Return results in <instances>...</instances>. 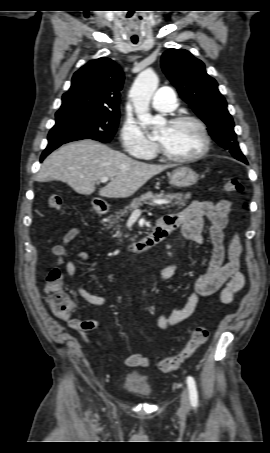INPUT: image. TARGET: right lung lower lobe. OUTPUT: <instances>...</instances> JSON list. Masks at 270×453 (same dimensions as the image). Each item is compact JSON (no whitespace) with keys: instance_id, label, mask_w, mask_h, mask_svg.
<instances>
[{"instance_id":"obj_1","label":"right lung lower lobe","mask_w":270,"mask_h":453,"mask_svg":"<svg viewBox=\"0 0 270 453\" xmlns=\"http://www.w3.org/2000/svg\"><path fill=\"white\" fill-rule=\"evenodd\" d=\"M60 145H62V143H49L47 148L43 151L42 155H41V159L40 161H43V159L48 155L50 154L53 150H55L56 148H58Z\"/></svg>"}]
</instances>
